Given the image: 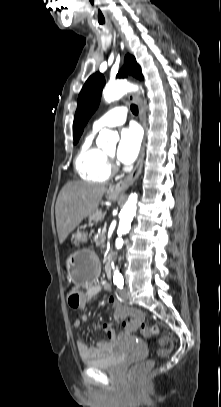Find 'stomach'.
Returning <instances> with one entry per match:
<instances>
[{"label": "stomach", "mask_w": 221, "mask_h": 407, "mask_svg": "<svg viewBox=\"0 0 221 407\" xmlns=\"http://www.w3.org/2000/svg\"><path fill=\"white\" fill-rule=\"evenodd\" d=\"M110 200L116 199L118 196L112 192L108 193ZM105 213L97 209L89 216V221L103 220ZM87 233L77 231L72 235V240L75 245L87 242ZM67 267L72 281L78 285H85L94 282L99 272V260L96 254L87 248L75 251L67 259Z\"/></svg>", "instance_id": "stomach-1"}]
</instances>
